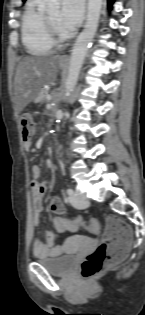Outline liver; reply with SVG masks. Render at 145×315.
I'll use <instances>...</instances> for the list:
<instances>
[{
    "label": "liver",
    "instance_id": "liver-1",
    "mask_svg": "<svg viewBox=\"0 0 145 315\" xmlns=\"http://www.w3.org/2000/svg\"><path fill=\"white\" fill-rule=\"evenodd\" d=\"M61 56H26L18 63L14 79V111L36 100L44 85L55 81Z\"/></svg>",
    "mask_w": 145,
    "mask_h": 315
}]
</instances>
